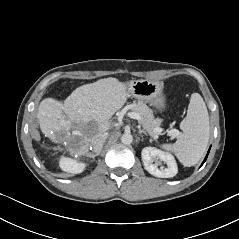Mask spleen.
Listing matches in <instances>:
<instances>
[{
	"label": "spleen",
	"instance_id": "obj_1",
	"mask_svg": "<svg viewBox=\"0 0 239 239\" xmlns=\"http://www.w3.org/2000/svg\"><path fill=\"white\" fill-rule=\"evenodd\" d=\"M182 132L174 144H163L162 148L173 152L186 167L195 165L204 155L210 137L209 115L200 94L193 93L187 116L180 123Z\"/></svg>",
	"mask_w": 239,
	"mask_h": 239
}]
</instances>
